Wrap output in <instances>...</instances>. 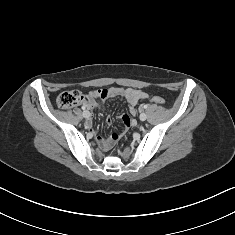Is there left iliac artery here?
I'll use <instances>...</instances> for the list:
<instances>
[{
    "label": "left iliac artery",
    "instance_id": "1",
    "mask_svg": "<svg viewBox=\"0 0 235 235\" xmlns=\"http://www.w3.org/2000/svg\"><path fill=\"white\" fill-rule=\"evenodd\" d=\"M147 107H148V105H144V106H143V108H145V109H146Z\"/></svg>",
    "mask_w": 235,
    "mask_h": 235
}]
</instances>
